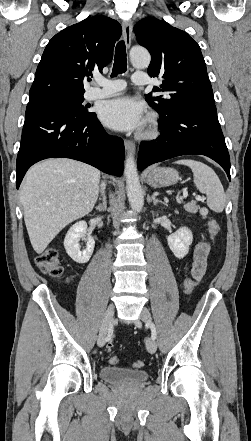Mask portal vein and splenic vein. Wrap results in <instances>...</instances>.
<instances>
[{
	"mask_svg": "<svg viewBox=\"0 0 251 441\" xmlns=\"http://www.w3.org/2000/svg\"><path fill=\"white\" fill-rule=\"evenodd\" d=\"M187 196H188L187 191H184L183 192V198H187ZM196 199H201V197L200 196H196Z\"/></svg>",
	"mask_w": 251,
	"mask_h": 441,
	"instance_id": "18ae733b",
	"label": "portal vein and splenic vein"
}]
</instances>
